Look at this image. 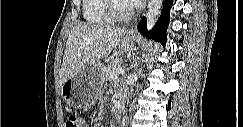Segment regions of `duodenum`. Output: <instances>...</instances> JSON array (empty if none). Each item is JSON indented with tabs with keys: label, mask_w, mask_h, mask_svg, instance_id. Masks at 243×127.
Segmentation results:
<instances>
[{
	"label": "duodenum",
	"mask_w": 243,
	"mask_h": 127,
	"mask_svg": "<svg viewBox=\"0 0 243 127\" xmlns=\"http://www.w3.org/2000/svg\"><path fill=\"white\" fill-rule=\"evenodd\" d=\"M122 110H123V101L122 100H119L115 104V107H114V113H115L116 119H119L120 118L121 113H122Z\"/></svg>",
	"instance_id": "410a0bca"
}]
</instances>
